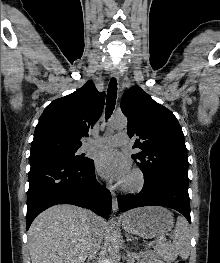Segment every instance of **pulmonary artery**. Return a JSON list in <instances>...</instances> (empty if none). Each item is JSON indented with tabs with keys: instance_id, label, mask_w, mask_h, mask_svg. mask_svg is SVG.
I'll list each match as a JSON object with an SVG mask.
<instances>
[{
	"instance_id": "e3ab8cb5",
	"label": "pulmonary artery",
	"mask_w": 220,
	"mask_h": 263,
	"mask_svg": "<svg viewBox=\"0 0 220 263\" xmlns=\"http://www.w3.org/2000/svg\"><path fill=\"white\" fill-rule=\"evenodd\" d=\"M130 141L129 136L124 133H118L114 136H105L97 139H90L82 147L83 150H88L92 148H108L116 145H125Z\"/></svg>"
}]
</instances>
